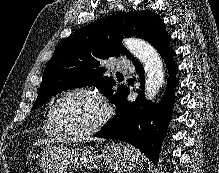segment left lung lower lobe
Returning a JSON list of instances; mask_svg holds the SVG:
<instances>
[{"instance_id": "0a47b994", "label": "left lung lower lobe", "mask_w": 219, "mask_h": 173, "mask_svg": "<svg viewBox=\"0 0 219 173\" xmlns=\"http://www.w3.org/2000/svg\"><path fill=\"white\" fill-rule=\"evenodd\" d=\"M170 36L159 41L155 48L165 60L169 71L168 85L165 95L159 104H153L143 97L144 70L137 60L134 64L139 74L140 89L135 101L129 102L126 88L116 104V115L98 133L96 137L125 141L141 152L150 160L157 163L158 154L166 134L171 118L174 103L173 89L177 86L175 71L177 67L173 62L174 51L169 45Z\"/></svg>"}]
</instances>
